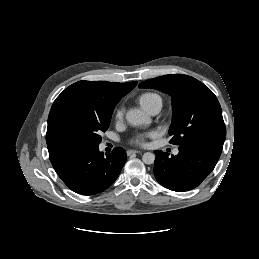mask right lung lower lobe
Returning a JSON list of instances; mask_svg holds the SVG:
<instances>
[{
    "instance_id": "1",
    "label": "right lung lower lobe",
    "mask_w": 259,
    "mask_h": 259,
    "mask_svg": "<svg viewBox=\"0 0 259 259\" xmlns=\"http://www.w3.org/2000/svg\"><path fill=\"white\" fill-rule=\"evenodd\" d=\"M48 151L61 180L82 195L97 194L110 187L127 159L122 148L116 147L105 157L93 144L48 146Z\"/></svg>"
}]
</instances>
